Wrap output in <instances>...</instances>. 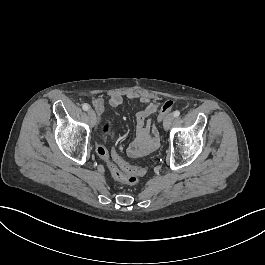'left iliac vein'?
<instances>
[{
  "label": "left iliac vein",
  "mask_w": 265,
  "mask_h": 265,
  "mask_svg": "<svg viewBox=\"0 0 265 265\" xmlns=\"http://www.w3.org/2000/svg\"><path fill=\"white\" fill-rule=\"evenodd\" d=\"M174 115L173 114H168L166 117H165V119H164V122H163V126H164V128L166 129V130H168L170 127H171V125H172V123H173V121H174Z\"/></svg>",
  "instance_id": "1"
}]
</instances>
